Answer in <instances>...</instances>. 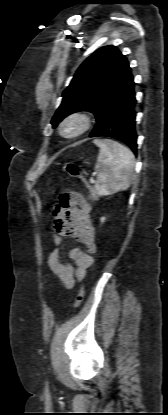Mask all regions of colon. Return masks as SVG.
I'll use <instances>...</instances> for the list:
<instances>
[{"label":"colon","instance_id":"colon-1","mask_svg":"<svg viewBox=\"0 0 168 415\" xmlns=\"http://www.w3.org/2000/svg\"><path fill=\"white\" fill-rule=\"evenodd\" d=\"M66 172L72 176V177H78L81 178V185L84 189H87V199H92L93 201H96L99 198V195L97 194V189H95L94 184L91 182L89 177H83L82 172L79 168V166L73 162H68L65 165ZM55 227V224H54ZM84 298V289L81 287L78 291V294L76 296L74 307H78Z\"/></svg>","mask_w":168,"mask_h":415}]
</instances>
